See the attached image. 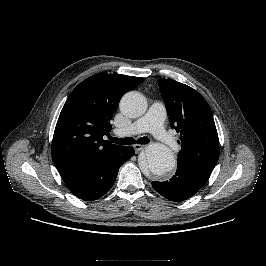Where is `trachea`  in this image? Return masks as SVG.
<instances>
[{
    "instance_id": "1",
    "label": "trachea",
    "mask_w": 266,
    "mask_h": 266,
    "mask_svg": "<svg viewBox=\"0 0 266 266\" xmlns=\"http://www.w3.org/2000/svg\"><path fill=\"white\" fill-rule=\"evenodd\" d=\"M109 139L111 142L120 144V145H130V144H135V142H137L138 144H148L150 142L148 137H141L137 141L132 137L116 138V137L109 136Z\"/></svg>"
}]
</instances>
